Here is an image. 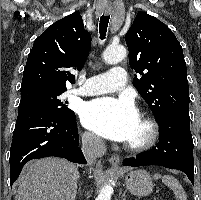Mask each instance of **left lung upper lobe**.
<instances>
[{"label": "left lung upper lobe", "instance_id": "left-lung-upper-lobe-1", "mask_svg": "<svg viewBox=\"0 0 201 200\" xmlns=\"http://www.w3.org/2000/svg\"><path fill=\"white\" fill-rule=\"evenodd\" d=\"M133 84L157 122L173 111L189 112V87L183 50L157 18L139 12L125 35Z\"/></svg>", "mask_w": 201, "mask_h": 200}]
</instances>
